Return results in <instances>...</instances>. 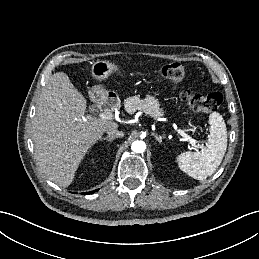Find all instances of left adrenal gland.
<instances>
[{
  "label": "left adrenal gland",
  "mask_w": 259,
  "mask_h": 259,
  "mask_svg": "<svg viewBox=\"0 0 259 259\" xmlns=\"http://www.w3.org/2000/svg\"><path fill=\"white\" fill-rule=\"evenodd\" d=\"M152 135L156 138V140L161 144L162 143V139H165L164 136H158L155 133H152Z\"/></svg>",
  "instance_id": "1"
}]
</instances>
